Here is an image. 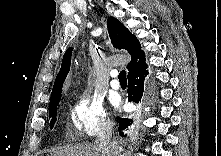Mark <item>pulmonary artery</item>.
Returning <instances> with one entry per match:
<instances>
[{"label": "pulmonary artery", "instance_id": "e3ab8cb5", "mask_svg": "<svg viewBox=\"0 0 221 156\" xmlns=\"http://www.w3.org/2000/svg\"><path fill=\"white\" fill-rule=\"evenodd\" d=\"M117 75H118L117 71L111 72V76L113 79L111 80L110 85L115 90H118L120 88V82L118 81V79H116Z\"/></svg>", "mask_w": 221, "mask_h": 156}]
</instances>
